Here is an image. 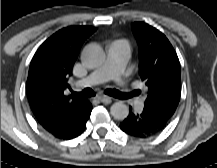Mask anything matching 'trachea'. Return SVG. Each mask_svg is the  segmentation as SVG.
<instances>
[{"label":"trachea","instance_id":"3493384b","mask_svg":"<svg viewBox=\"0 0 217 168\" xmlns=\"http://www.w3.org/2000/svg\"><path fill=\"white\" fill-rule=\"evenodd\" d=\"M104 93L107 95H110L112 97L118 98V99H126L129 97V96L119 92L116 89H106L104 91ZM73 95L87 98V97L95 96V92L91 88H86V89L82 90L81 92H73Z\"/></svg>","mask_w":217,"mask_h":168}]
</instances>
